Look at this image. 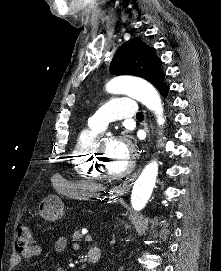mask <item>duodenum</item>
<instances>
[{
    "instance_id": "obj_1",
    "label": "duodenum",
    "mask_w": 221,
    "mask_h": 271,
    "mask_svg": "<svg viewBox=\"0 0 221 271\" xmlns=\"http://www.w3.org/2000/svg\"><path fill=\"white\" fill-rule=\"evenodd\" d=\"M88 258L90 260V262L96 264L98 262H100L101 258H102V250L100 248H92L89 251L88 254Z\"/></svg>"
}]
</instances>
